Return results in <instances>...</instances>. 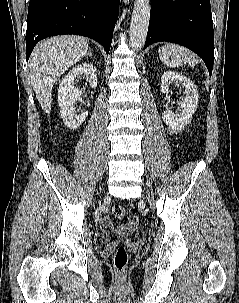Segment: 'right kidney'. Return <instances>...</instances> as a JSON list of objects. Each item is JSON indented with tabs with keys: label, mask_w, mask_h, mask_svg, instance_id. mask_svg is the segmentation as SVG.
Returning <instances> with one entry per match:
<instances>
[{
	"label": "right kidney",
	"mask_w": 239,
	"mask_h": 303,
	"mask_svg": "<svg viewBox=\"0 0 239 303\" xmlns=\"http://www.w3.org/2000/svg\"><path fill=\"white\" fill-rule=\"evenodd\" d=\"M84 75L92 88L97 87L96 68L90 63H82L73 67L62 79L58 90V103L64 124L71 130H76L88 116L87 111L79 115L73 111V104L79 98V89L74 85L76 77Z\"/></svg>",
	"instance_id": "obj_1"
}]
</instances>
